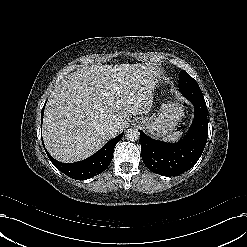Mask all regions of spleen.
<instances>
[{
    "mask_svg": "<svg viewBox=\"0 0 247 247\" xmlns=\"http://www.w3.org/2000/svg\"><path fill=\"white\" fill-rule=\"evenodd\" d=\"M182 136V132L176 131L164 138V141L177 142Z\"/></svg>",
    "mask_w": 247,
    "mask_h": 247,
    "instance_id": "obj_1",
    "label": "spleen"
}]
</instances>
